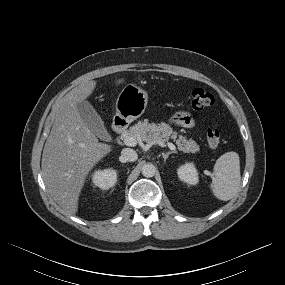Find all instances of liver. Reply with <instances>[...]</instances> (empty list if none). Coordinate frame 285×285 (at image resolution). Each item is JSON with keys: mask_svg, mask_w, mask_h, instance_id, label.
Instances as JSON below:
<instances>
[{"mask_svg": "<svg viewBox=\"0 0 285 285\" xmlns=\"http://www.w3.org/2000/svg\"><path fill=\"white\" fill-rule=\"evenodd\" d=\"M124 79L115 82L119 85ZM96 81L87 80L60 101L42 154V172L52 198L65 214L75 215L85 179L92 168L112 150L100 143L83 122L77 104L94 91Z\"/></svg>", "mask_w": 285, "mask_h": 285, "instance_id": "obj_1", "label": "liver"}]
</instances>
